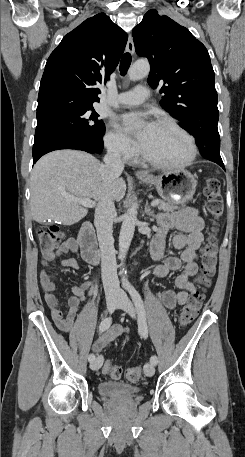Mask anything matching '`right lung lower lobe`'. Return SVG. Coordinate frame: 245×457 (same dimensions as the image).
Instances as JSON below:
<instances>
[{
    "label": "right lung lower lobe",
    "mask_w": 245,
    "mask_h": 457,
    "mask_svg": "<svg viewBox=\"0 0 245 457\" xmlns=\"http://www.w3.org/2000/svg\"><path fill=\"white\" fill-rule=\"evenodd\" d=\"M59 149H77L96 153L94 148L82 138L66 133H52L35 139L33 145L34 163L44 154Z\"/></svg>",
    "instance_id": "obj_1"
}]
</instances>
